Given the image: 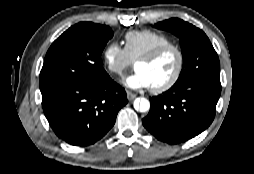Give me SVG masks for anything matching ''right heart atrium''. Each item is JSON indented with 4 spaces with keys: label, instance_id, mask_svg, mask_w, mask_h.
<instances>
[{
    "label": "right heart atrium",
    "instance_id": "right-heart-atrium-1",
    "mask_svg": "<svg viewBox=\"0 0 254 174\" xmlns=\"http://www.w3.org/2000/svg\"><path fill=\"white\" fill-rule=\"evenodd\" d=\"M103 62L110 73L120 75L131 65L132 60L126 49L113 41L104 48Z\"/></svg>",
    "mask_w": 254,
    "mask_h": 174
}]
</instances>
